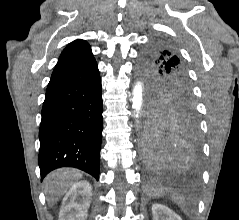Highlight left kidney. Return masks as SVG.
<instances>
[{
  "mask_svg": "<svg viewBox=\"0 0 239 220\" xmlns=\"http://www.w3.org/2000/svg\"><path fill=\"white\" fill-rule=\"evenodd\" d=\"M153 220H182L179 215L161 204L152 205Z\"/></svg>",
  "mask_w": 239,
  "mask_h": 220,
  "instance_id": "obj_1",
  "label": "left kidney"
}]
</instances>
